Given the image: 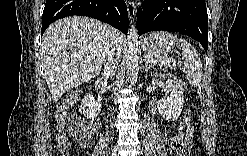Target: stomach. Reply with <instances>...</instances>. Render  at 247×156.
<instances>
[{
	"instance_id": "obj_1",
	"label": "stomach",
	"mask_w": 247,
	"mask_h": 156,
	"mask_svg": "<svg viewBox=\"0 0 247 156\" xmlns=\"http://www.w3.org/2000/svg\"><path fill=\"white\" fill-rule=\"evenodd\" d=\"M175 37L169 32H153L143 39V49L150 56H164L175 45Z\"/></svg>"
}]
</instances>
